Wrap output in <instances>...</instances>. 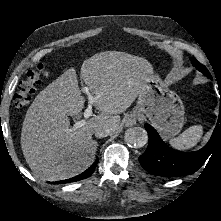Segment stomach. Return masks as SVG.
<instances>
[{
  "label": "stomach",
  "instance_id": "stomach-1",
  "mask_svg": "<svg viewBox=\"0 0 221 221\" xmlns=\"http://www.w3.org/2000/svg\"><path fill=\"white\" fill-rule=\"evenodd\" d=\"M136 112L144 114L164 139L176 136L184 124L181 98L154 74L146 76L138 94Z\"/></svg>",
  "mask_w": 221,
  "mask_h": 221
}]
</instances>
